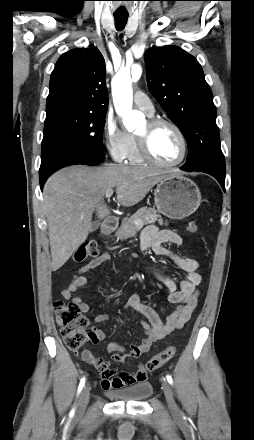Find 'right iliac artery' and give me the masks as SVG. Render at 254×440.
Returning a JSON list of instances; mask_svg holds the SVG:
<instances>
[{"label":"right iliac artery","instance_id":"obj_1","mask_svg":"<svg viewBox=\"0 0 254 440\" xmlns=\"http://www.w3.org/2000/svg\"><path fill=\"white\" fill-rule=\"evenodd\" d=\"M84 385H85V377H83L81 379L80 383H79L78 391H77L78 394L81 392V390L83 389ZM71 413H74V409H72Z\"/></svg>","mask_w":254,"mask_h":440}]
</instances>
